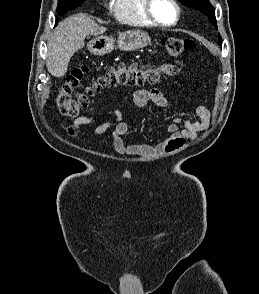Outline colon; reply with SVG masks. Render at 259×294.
I'll return each instance as SVG.
<instances>
[{"label":"colon","mask_w":259,"mask_h":294,"mask_svg":"<svg viewBox=\"0 0 259 294\" xmlns=\"http://www.w3.org/2000/svg\"><path fill=\"white\" fill-rule=\"evenodd\" d=\"M161 44L166 53L173 58L195 48L192 40L175 37H165L161 40ZM178 71L176 63H168L159 68L140 67L135 63H119L108 68L102 76L92 80L82 92L74 94L87 72L86 68L74 69L62 83L56 104L63 116L73 118L88 108L90 98L104 87L152 85L159 82L164 75H176Z\"/></svg>","instance_id":"obj_1"}]
</instances>
